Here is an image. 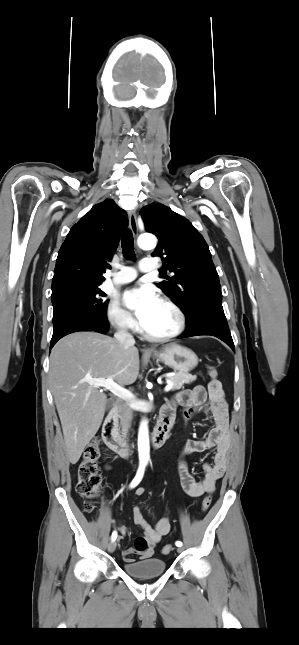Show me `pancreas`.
I'll list each match as a JSON object with an SVG mask.
<instances>
[{"label": "pancreas", "instance_id": "1", "mask_svg": "<svg viewBox=\"0 0 299 645\" xmlns=\"http://www.w3.org/2000/svg\"><path fill=\"white\" fill-rule=\"evenodd\" d=\"M167 379L172 382L173 386L171 390L174 391L181 389L184 384H190L191 382L195 381L196 376H193L191 374L178 373L177 375L168 377Z\"/></svg>", "mask_w": 299, "mask_h": 645}]
</instances>
